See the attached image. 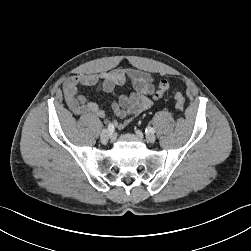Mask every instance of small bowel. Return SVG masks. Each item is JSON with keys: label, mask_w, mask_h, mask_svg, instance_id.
<instances>
[{"label": "small bowel", "mask_w": 251, "mask_h": 251, "mask_svg": "<svg viewBox=\"0 0 251 251\" xmlns=\"http://www.w3.org/2000/svg\"><path fill=\"white\" fill-rule=\"evenodd\" d=\"M127 82L132 85V92L118 95L112 103V112L118 119L114 124L118 128L125 127L132 118L149 110L170 86L168 79L156 84L148 72L119 67L107 72L82 73L67 78L63 85L65 100L76 115L105 118L106 112L97 103L81 94L80 87H91L97 91L116 95L117 88Z\"/></svg>", "instance_id": "c3829d8e"}]
</instances>
